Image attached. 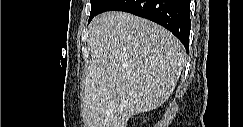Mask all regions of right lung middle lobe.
I'll list each match as a JSON object with an SVG mask.
<instances>
[{
	"mask_svg": "<svg viewBox=\"0 0 243 127\" xmlns=\"http://www.w3.org/2000/svg\"><path fill=\"white\" fill-rule=\"evenodd\" d=\"M105 2H106V0H91V12H90V17H89V22L97 14L99 9L103 6V4Z\"/></svg>",
	"mask_w": 243,
	"mask_h": 127,
	"instance_id": "obj_1",
	"label": "right lung middle lobe"
}]
</instances>
